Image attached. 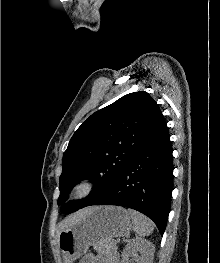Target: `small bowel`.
I'll use <instances>...</instances> for the list:
<instances>
[{"instance_id": "obj_1", "label": "small bowel", "mask_w": 220, "mask_h": 263, "mask_svg": "<svg viewBox=\"0 0 220 263\" xmlns=\"http://www.w3.org/2000/svg\"><path fill=\"white\" fill-rule=\"evenodd\" d=\"M81 263H111L110 261L103 260L95 257L93 254H87L81 260Z\"/></svg>"}]
</instances>
